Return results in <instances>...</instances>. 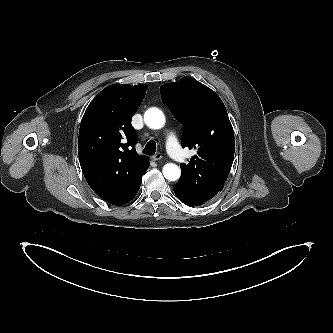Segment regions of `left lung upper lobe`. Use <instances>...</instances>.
Listing matches in <instances>:
<instances>
[{"mask_svg": "<svg viewBox=\"0 0 333 333\" xmlns=\"http://www.w3.org/2000/svg\"><path fill=\"white\" fill-rule=\"evenodd\" d=\"M162 101L183 125L182 146L197 149L188 164L182 163L178 184L212 199L230 173L235 139L226 108L210 88L191 77L160 87Z\"/></svg>", "mask_w": 333, "mask_h": 333, "instance_id": "obj_1", "label": "left lung upper lobe"}]
</instances>
